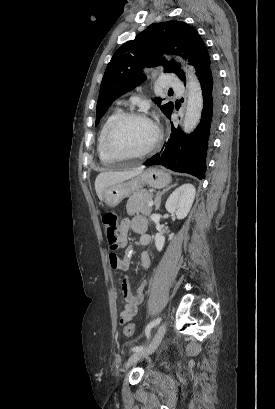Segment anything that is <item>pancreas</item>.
Returning <instances> with one entry per match:
<instances>
[{
    "instance_id": "cf45deb5",
    "label": "pancreas",
    "mask_w": 275,
    "mask_h": 409,
    "mask_svg": "<svg viewBox=\"0 0 275 409\" xmlns=\"http://www.w3.org/2000/svg\"><path fill=\"white\" fill-rule=\"evenodd\" d=\"M153 192L147 190V188H141L134 194L129 196L127 200V213L128 215H134V213H143V215H150L152 207H148L150 200H152Z\"/></svg>"
}]
</instances>
